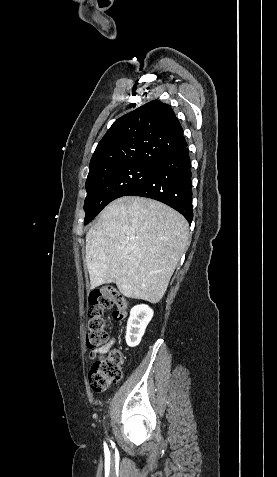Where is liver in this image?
I'll use <instances>...</instances> for the list:
<instances>
[{
  "label": "liver",
  "instance_id": "liver-1",
  "mask_svg": "<svg viewBox=\"0 0 277 477\" xmlns=\"http://www.w3.org/2000/svg\"><path fill=\"white\" fill-rule=\"evenodd\" d=\"M188 242V222L173 208L149 198H118L86 234L90 287L115 283L125 297L158 303Z\"/></svg>",
  "mask_w": 277,
  "mask_h": 477
}]
</instances>
